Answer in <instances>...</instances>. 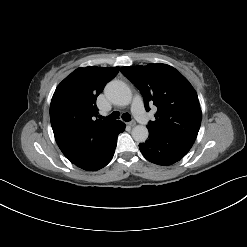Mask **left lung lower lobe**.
Listing matches in <instances>:
<instances>
[{"label": "left lung lower lobe", "mask_w": 247, "mask_h": 247, "mask_svg": "<svg viewBox=\"0 0 247 247\" xmlns=\"http://www.w3.org/2000/svg\"><path fill=\"white\" fill-rule=\"evenodd\" d=\"M192 145V142L186 140L150 133L149 139L141 143L139 148L148 161L158 165H171L182 159Z\"/></svg>", "instance_id": "1"}]
</instances>
